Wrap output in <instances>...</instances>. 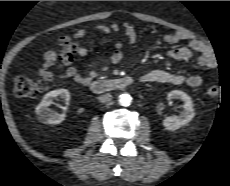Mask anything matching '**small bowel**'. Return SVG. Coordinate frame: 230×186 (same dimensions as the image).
<instances>
[{"instance_id":"1","label":"small bowel","mask_w":230,"mask_h":186,"mask_svg":"<svg viewBox=\"0 0 230 186\" xmlns=\"http://www.w3.org/2000/svg\"><path fill=\"white\" fill-rule=\"evenodd\" d=\"M96 31L104 34H118L123 31L129 43H134L137 38V32L133 25L125 24L120 27L117 24H100L94 27ZM88 33L86 29H80L75 34V38H81ZM165 43L177 44L181 41H187L184 47L173 48L166 52L168 58L174 61L188 60L194 56L196 64L199 67L213 69L217 66V60L211 49L203 42L193 38L185 32H171L163 37ZM78 53L82 57L88 56L89 52L86 48L81 47ZM123 59L122 44L116 43L110 55V63L117 64ZM57 60V52L55 49L46 51L43 55V66L39 69L38 74L43 76L48 72V68L53 66ZM66 68L59 74L61 79H72L82 85H88L92 80L108 69V65H102L88 71L80 72L76 67L70 65L69 60H65ZM141 80L147 83H171V84H187L190 87H199L202 84V78L198 75H185L182 73H172L162 69H153L145 72L141 76Z\"/></svg>"}]
</instances>
